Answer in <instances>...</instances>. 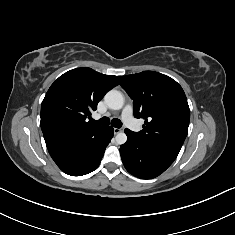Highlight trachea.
<instances>
[{
    "label": "trachea",
    "instance_id": "3493384b",
    "mask_svg": "<svg viewBox=\"0 0 235 235\" xmlns=\"http://www.w3.org/2000/svg\"><path fill=\"white\" fill-rule=\"evenodd\" d=\"M93 122L95 124H99V125H109L111 123V125L113 127H116V128H121L122 127V122L119 120V119H112L111 122H110V119L108 117H103L97 121L93 120Z\"/></svg>",
    "mask_w": 235,
    "mask_h": 235
}]
</instances>
